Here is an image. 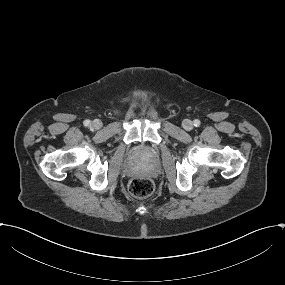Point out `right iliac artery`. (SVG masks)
<instances>
[{"label":"right iliac artery","instance_id":"1","mask_svg":"<svg viewBox=\"0 0 285 285\" xmlns=\"http://www.w3.org/2000/svg\"><path fill=\"white\" fill-rule=\"evenodd\" d=\"M90 125V121L89 120H85L84 121V126H89Z\"/></svg>","mask_w":285,"mask_h":285}]
</instances>
